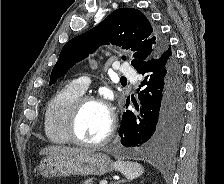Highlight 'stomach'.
Masks as SVG:
<instances>
[{
  "instance_id": "obj_1",
  "label": "stomach",
  "mask_w": 224,
  "mask_h": 184,
  "mask_svg": "<svg viewBox=\"0 0 224 184\" xmlns=\"http://www.w3.org/2000/svg\"><path fill=\"white\" fill-rule=\"evenodd\" d=\"M38 170L45 178L104 175L114 170V164L104 153L85 151L46 157L40 162Z\"/></svg>"
}]
</instances>
